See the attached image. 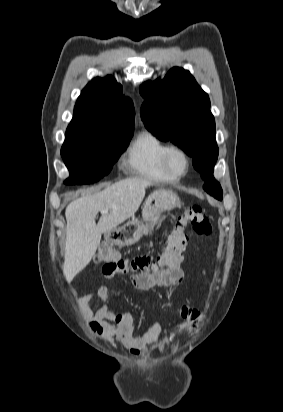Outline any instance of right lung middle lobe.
I'll return each instance as SVG.
<instances>
[{
  "label": "right lung middle lobe",
  "instance_id": "dd1d6c3e",
  "mask_svg": "<svg viewBox=\"0 0 283 412\" xmlns=\"http://www.w3.org/2000/svg\"><path fill=\"white\" fill-rule=\"evenodd\" d=\"M133 133L92 135L70 123L61 155L70 177L65 184L94 183L107 175L126 149Z\"/></svg>",
  "mask_w": 283,
  "mask_h": 412
}]
</instances>
